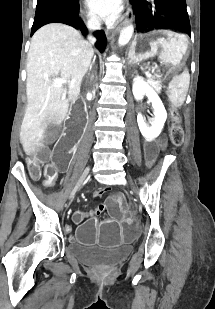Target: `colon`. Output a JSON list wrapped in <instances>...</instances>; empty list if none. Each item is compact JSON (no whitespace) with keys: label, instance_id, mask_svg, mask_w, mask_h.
Instances as JSON below:
<instances>
[{"label":"colon","instance_id":"colon-1","mask_svg":"<svg viewBox=\"0 0 215 309\" xmlns=\"http://www.w3.org/2000/svg\"><path fill=\"white\" fill-rule=\"evenodd\" d=\"M171 140L173 144L177 147L181 146L184 140V134L182 129V124L179 118L178 111L175 107H171ZM29 167L35 172L37 170V166L34 162H30ZM46 178L44 180V185L46 187H50L54 184L57 168L55 164H50L46 170Z\"/></svg>","mask_w":215,"mask_h":309}]
</instances>
